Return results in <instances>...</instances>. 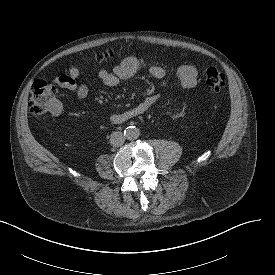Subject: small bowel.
<instances>
[{
  "instance_id": "1",
  "label": "small bowel",
  "mask_w": 275,
  "mask_h": 275,
  "mask_svg": "<svg viewBox=\"0 0 275 275\" xmlns=\"http://www.w3.org/2000/svg\"><path fill=\"white\" fill-rule=\"evenodd\" d=\"M142 61L136 56H128L120 63L116 64L113 69H102L98 74L99 81L106 87H115L122 79H127L134 76L141 68ZM149 73L157 80H164L167 77L166 70L160 65L149 66ZM177 76L182 87L186 89L194 88L198 81L197 69L189 64H183L177 69ZM54 83L73 92L77 98L85 99L89 95V86L81 82L80 70L77 67H71L65 74H61L55 78ZM159 99L156 93L146 95L133 107L111 116L114 123H122L138 117L147 112ZM51 112L57 115L61 112L59 105L52 108Z\"/></svg>"
}]
</instances>
